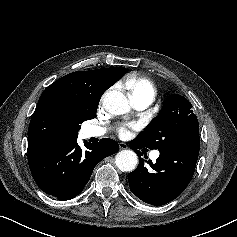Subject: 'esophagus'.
<instances>
[{
    "label": "esophagus",
    "instance_id": "1",
    "mask_svg": "<svg viewBox=\"0 0 237 237\" xmlns=\"http://www.w3.org/2000/svg\"><path fill=\"white\" fill-rule=\"evenodd\" d=\"M119 148H120V150H124V149H127L128 146H127L126 143H124V142H120V143H119Z\"/></svg>",
    "mask_w": 237,
    "mask_h": 237
}]
</instances>
